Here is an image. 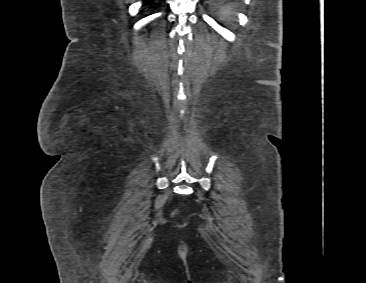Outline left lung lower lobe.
<instances>
[{
  "instance_id": "0a47b994",
  "label": "left lung lower lobe",
  "mask_w": 366,
  "mask_h": 283,
  "mask_svg": "<svg viewBox=\"0 0 366 283\" xmlns=\"http://www.w3.org/2000/svg\"><path fill=\"white\" fill-rule=\"evenodd\" d=\"M215 8L221 11H230L240 0H208Z\"/></svg>"
}]
</instances>
